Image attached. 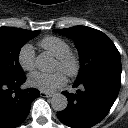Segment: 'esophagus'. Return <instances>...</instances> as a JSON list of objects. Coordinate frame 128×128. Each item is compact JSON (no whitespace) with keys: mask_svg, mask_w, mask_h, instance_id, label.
Here are the masks:
<instances>
[{"mask_svg":"<svg viewBox=\"0 0 128 128\" xmlns=\"http://www.w3.org/2000/svg\"><path fill=\"white\" fill-rule=\"evenodd\" d=\"M40 95H41L42 97L50 98V97H52L53 94L50 93V92L40 91Z\"/></svg>","mask_w":128,"mask_h":128,"instance_id":"esophagus-1","label":"esophagus"}]
</instances>
